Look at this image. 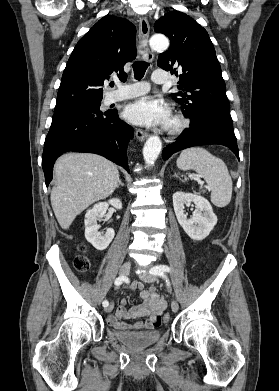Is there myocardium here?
I'll return each mask as SVG.
<instances>
[{
  "instance_id": "obj_1",
  "label": "myocardium",
  "mask_w": 279,
  "mask_h": 391,
  "mask_svg": "<svg viewBox=\"0 0 279 391\" xmlns=\"http://www.w3.org/2000/svg\"><path fill=\"white\" fill-rule=\"evenodd\" d=\"M189 125V121L181 114H174L168 124L169 135L181 134Z\"/></svg>"
}]
</instances>
